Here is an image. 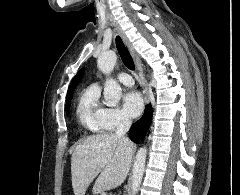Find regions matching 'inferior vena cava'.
Returning <instances> with one entry per match:
<instances>
[{"mask_svg": "<svg viewBox=\"0 0 240 195\" xmlns=\"http://www.w3.org/2000/svg\"><path fill=\"white\" fill-rule=\"evenodd\" d=\"M131 125V119L128 117V115H122L118 125H117V131L116 135L119 137V139H122V141H125V143H130L129 137H127L126 133L129 131Z\"/></svg>", "mask_w": 240, "mask_h": 195, "instance_id": "1", "label": "inferior vena cava"}]
</instances>
